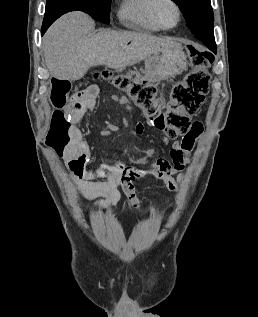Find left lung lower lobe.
Instances as JSON below:
<instances>
[{"mask_svg":"<svg viewBox=\"0 0 258 317\" xmlns=\"http://www.w3.org/2000/svg\"><path fill=\"white\" fill-rule=\"evenodd\" d=\"M194 36L203 42L212 52L216 53V44L213 30H200L194 33Z\"/></svg>","mask_w":258,"mask_h":317,"instance_id":"1","label":"left lung lower lobe"}]
</instances>
